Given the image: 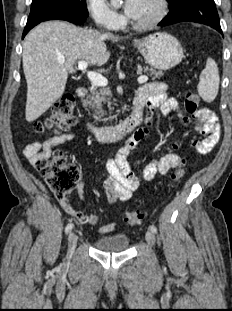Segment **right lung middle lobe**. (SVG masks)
<instances>
[{"instance_id":"1","label":"right lung middle lobe","mask_w":232,"mask_h":311,"mask_svg":"<svg viewBox=\"0 0 232 311\" xmlns=\"http://www.w3.org/2000/svg\"><path fill=\"white\" fill-rule=\"evenodd\" d=\"M47 7H62L74 10L81 15L88 16L86 0H33L31 11Z\"/></svg>"}]
</instances>
